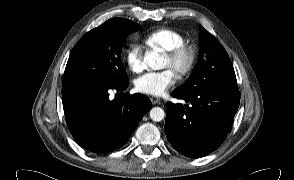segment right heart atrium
I'll return each instance as SVG.
<instances>
[{
    "label": "right heart atrium",
    "mask_w": 294,
    "mask_h": 180,
    "mask_svg": "<svg viewBox=\"0 0 294 180\" xmlns=\"http://www.w3.org/2000/svg\"><path fill=\"white\" fill-rule=\"evenodd\" d=\"M122 57L130 71L137 73L143 69V49L139 43L132 41L123 51Z\"/></svg>",
    "instance_id": "1"
}]
</instances>
